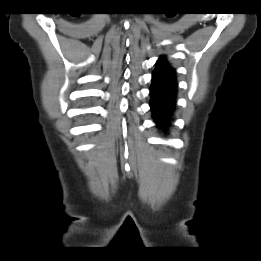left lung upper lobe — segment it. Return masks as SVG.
<instances>
[{
  "label": "left lung upper lobe",
  "mask_w": 261,
  "mask_h": 261,
  "mask_svg": "<svg viewBox=\"0 0 261 261\" xmlns=\"http://www.w3.org/2000/svg\"><path fill=\"white\" fill-rule=\"evenodd\" d=\"M161 58L164 59V60L166 59L165 57H161Z\"/></svg>",
  "instance_id": "1"
}]
</instances>
